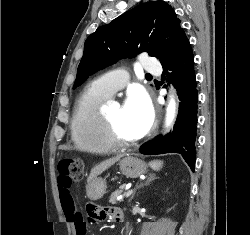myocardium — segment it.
Segmentation results:
<instances>
[{"mask_svg":"<svg viewBox=\"0 0 250 235\" xmlns=\"http://www.w3.org/2000/svg\"><path fill=\"white\" fill-rule=\"evenodd\" d=\"M103 119L105 122L106 134L110 143L117 149H129L132 148L140 143V139L134 141H126L124 140L118 130L116 125L111 117L107 115V113L102 112Z\"/></svg>","mask_w":250,"mask_h":235,"instance_id":"obj_1","label":"myocardium"}]
</instances>
